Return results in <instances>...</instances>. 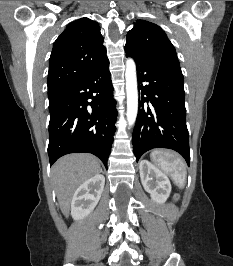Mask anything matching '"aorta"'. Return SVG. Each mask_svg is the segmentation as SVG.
Here are the masks:
<instances>
[{"instance_id":"762f6f07","label":"aorta","mask_w":233,"mask_h":266,"mask_svg":"<svg viewBox=\"0 0 233 266\" xmlns=\"http://www.w3.org/2000/svg\"><path fill=\"white\" fill-rule=\"evenodd\" d=\"M126 94H127V121L129 125L135 123L138 113V89H137V74L136 65L133 59L126 60Z\"/></svg>"}]
</instances>
